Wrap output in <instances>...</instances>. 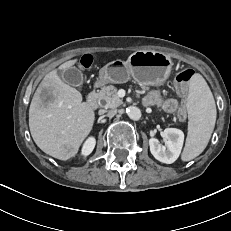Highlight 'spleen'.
Returning a JSON list of instances; mask_svg holds the SVG:
<instances>
[{
    "instance_id": "1",
    "label": "spleen",
    "mask_w": 231,
    "mask_h": 231,
    "mask_svg": "<svg viewBox=\"0 0 231 231\" xmlns=\"http://www.w3.org/2000/svg\"><path fill=\"white\" fill-rule=\"evenodd\" d=\"M188 135L182 153L183 161H190L206 148L216 122V105L212 92L200 74H194L187 98Z\"/></svg>"
}]
</instances>
